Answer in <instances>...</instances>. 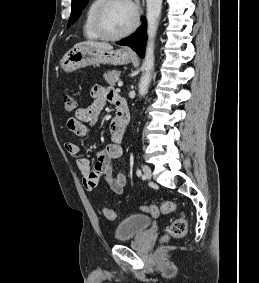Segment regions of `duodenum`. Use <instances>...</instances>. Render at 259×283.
Masks as SVG:
<instances>
[{
  "label": "duodenum",
  "instance_id": "1",
  "mask_svg": "<svg viewBox=\"0 0 259 283\" xmlns=\"http://www.w3.org/2000/svg\"><path fill=\"white\" fill-rule=\"evenodd\" d=\"M117 107L116 117L114 118L115 125L119 128L124 130L129 122V110L125 103V101L118 97L115 103Z\"/></svg>",
  "mask_w": 259,
  "mask_h": 283
}]
</instances>
